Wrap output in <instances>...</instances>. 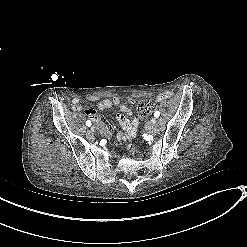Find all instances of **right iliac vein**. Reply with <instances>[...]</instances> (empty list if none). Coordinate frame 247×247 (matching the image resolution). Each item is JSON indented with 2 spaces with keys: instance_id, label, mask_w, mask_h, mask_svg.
Masks as SVG:
<instances>
[{
  "instance_id": "obj_1",
  "label": "right iliac vein",
  "mask_w": 247,
  "mask_h": 247,
  "mask_svg": "<svg viewBox=\"0 0 247 247\" xmlns=\"http://www.w3.org/2000/svg\"><path fill=\"white\" fill-rule=\"evenodd\" d=\"M91 130H92V131L95 130V126H94V125L91 126Z\"/></svg>"
}]
</instances>
